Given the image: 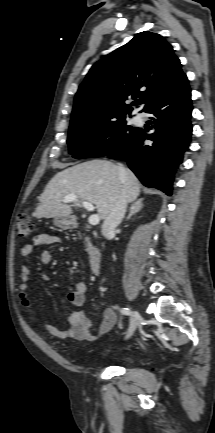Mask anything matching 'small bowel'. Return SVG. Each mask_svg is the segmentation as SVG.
<instances>
[{"instance_id":"c3829d8e","label":"small bowel","mask_w":215,"mask_h":433,"mask_svg":"<svg viewBox=\"0 0 215 433\" xmlns=\"http://www.w3.org/2000/svg\"><path fill=\"white\" fill-rule=\"evenodd\" d=\"M59 242V238L51 233H39L34 240V244L37 246H50ZM33 251L31 244L22 246L20 254L22 257H29ZM40 263L42 265H48L53 260V255L49 250H45L40 254ZM30 276L31 269L29 266L24 265L21 268L20 278L21 283L19 285V300L21 305L31 314L34 315V310L29 300L30 292ZM41 281L46 282L48 277L45 274H41ZM87 294V284L83 281L75 284V289L67 295L68 301L75 307H80L84 304ZM117 322V314L112 308H106L103 313V319L99 325L97 334L90 331V321L81 310L73 311L67 318V327L58 328L49 322L42 321L44 328L54 337L61 339H74L77 341H88L94 342L98 340L101 334L110 331Z\"/></svg>"}]
</instances>
